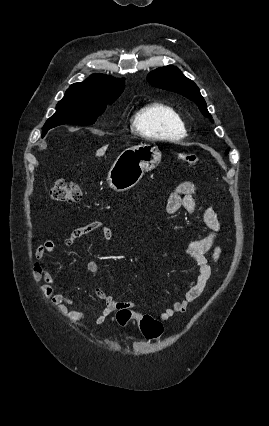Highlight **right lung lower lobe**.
<instances>
[{
	"mask_svg": "<svg viewBox=\"0 0 269 426\" xmlns=\"http://www.w3.org/2000/svg\"><path fill=\"white\" fill-rule=\"evenodd\" d=\"M47 132V131H46ZM46 132L42 133V137L46 134Z\"/></svg>",
	"mask_w": 269,
	"mask_h": 426,
	"instance_id": "1",
	"label": "right lung lower lobe"
}]
</instances>
